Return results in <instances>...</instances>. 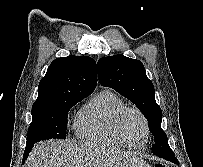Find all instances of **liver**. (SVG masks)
I'll return each mask as SVG.
<instances>
[{
    "instance_id": "obj_1",
    "label": "liver",
    "mask_w": 203,
    "mask_h": 167,
    "mask_svg": "<svg viewBox=\"0 0 203 167\" xmlns=\"http://www.w3.org/2000/svg\"><path fill=\"white\" fill-rule=\"evenodd\" d=\"M24 167H150L130 153L70 140H47L34 146Z\"/></svg>"
}]
</instances>
